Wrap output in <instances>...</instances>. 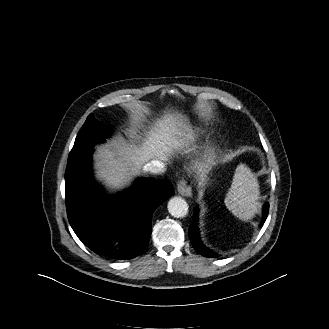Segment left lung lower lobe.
I'll list each match as a JSON object with an SVG mask.
<instances>
[{"label": "left lung lower lobe", "instance_id": "obj_1", "mask_svg": "<svg viewBox=\"0 0 329 329\" xmlns=\"http://www.w3.org/2000/svg\"><path fill=\"white\" fill-rule=\"evenodd\" d=\"M268 211H269V204L266 203L263 208L264 219L261 224H263V222L266 220V218L268 216ZM197 214H198V210L195 211L194 220L189 228V238L193 244V247L199 254H201L205 257H218L217 254H215L214 252H212L211 250L206 248L200 240L199 230H198V225H197V222H198Z\"/></svg>", "mask_w": 329, "mask_h": 329}]
</instances>
